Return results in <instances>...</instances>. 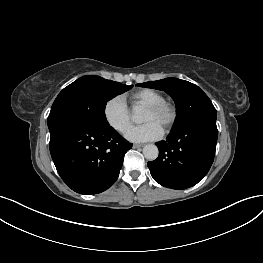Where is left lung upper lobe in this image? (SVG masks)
I'll return each instance as SVG.
<instances>
[{
  "label": "left lung upper lobe",
  "instance_id": "obj_1",
  "mask_svg": "<svg viewBox=\"0 0 263 263\" xmlns=\"http://www.w3.org/2000/svg\"><path fill=\"white\" fill-rule=\"evenodd\" d=\"M140 87L164 90L174 100L177 117L173 130L192 122L217 117L216 109L208 96L195 84L177 78H166L137 84Z\"/></svg>",
  "mask_w": 263,
  "mask_h": 263
}]
</instances>
